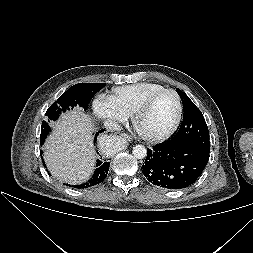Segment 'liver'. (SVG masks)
I'll return each mask as SVG.
<instances>
[{"label": "liver", "instance_id": "liver-1", "mask_svg": "<svg viewBox=\"0 0 253 253\" xmlns=\"http://www.w3.org/2000/svg\"><path fill=\"white\" fill-rule=\"evenodd\" d=\"M93 121L82 109L61 116L45 143V162L51 174L69 184L85 182L94 170Z\"/></svg>", "mask_w": 253, "mask_h": 253}]
</instances>
